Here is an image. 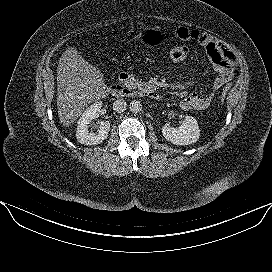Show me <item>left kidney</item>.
<instances>
[{"instance_id":"5707ae66","label":"left kidney","mask_w":272,"mask_h":272,"mask_svg":"<svg viewBox=\"0 0 272 272\" xmlns=\"http://www.w3.org/2000/svg\"><path fill=\"white\" fill-rule=\"evenodd\" d=\"M162 133L166 140L175 145L193 144L200 136L197 120L191 116H186L184 123L177 128L164 125Z\"/></svg>"}]
</instances>
